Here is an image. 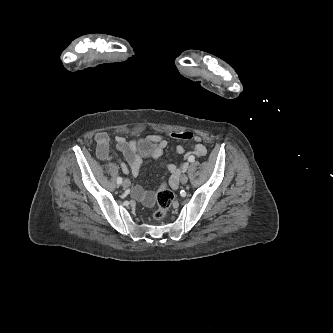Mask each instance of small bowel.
I'll return each mask as SVG.
<instances>
[{
	"instance_id": "c3829d8e",
	"label": "small bowel",
	"mask_w": 333,
	"mask_h": 333,
	"mask_svg": "<svg viewBox=\"0 0 333 333\" xmlns=\"http://www.w3.org/2000/svg\"><path fill=\"white\" fill-rule=\"evenodd\" d=\"M176 139L191 142L192 149L188 152L184 147L178 145L175 147V151L179 154L185 153V160L180 165L169 164L167 165L172 176L169 180V184L172 188H176L178 185V179L184 168L188 167V162L195 157L204 156L207 153L205 146L200 142L199 137L188 131L178 132L172 134ZM151 140L155 143L154 157L158 158L162 156L169 143L167 137L164 135L156 134L150 136ZM96 144V155L100 160H117L120 163V167L125 174L131 173L133 176H138L141 169L143 156L139 152L136 142L134 140H127L123 136H117L115 138L116 148L126 158L127 163L123 162L118 155L110 150V138L106 132H98L94 136ZM132 195L135 199L150 206L154 201V194L152 192L144 191L141 187H135L132 191Z\"/></svg>"
}]
</instances>
